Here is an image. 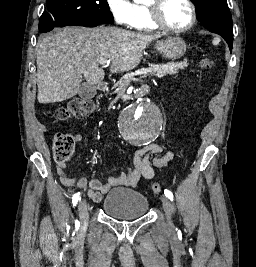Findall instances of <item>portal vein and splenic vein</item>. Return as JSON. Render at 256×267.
Returning a JSON list of instances; mask_svg holds the SVG:
<instances>
[{"instance_id":"portal-vein-and-splenic-vein-1","label":"portal vein and splenic vein","mask_w":256,"mask_h":267,"mask_svg":"<svg viewBox=\"0 0 256 267\" xmlns=\"http://www.w3.org/2000/svg\"><path fill=\"white\" fill-rule=\"evenodd\" d=\"M100 64L101 66H109V60L108 62H104V60H101ZM149 73H153V70L141 68V70L140 69L133 70V74H130V76L137 77L138 75L142 76L143 74H149Z\"/></svg>"}]
</instances>
